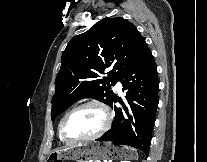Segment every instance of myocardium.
<instances>
[{
  "label": "myocardium",
  "instance_id": "myocardium-1",
  "mask_svg": "<svg viewBox=\"0 0 207 162\" xmlns=\"http://www.w3.org/2000/svg\"><path fill=\"white\" fill-rule=\"evenodd\" d=\"M89 106H94L101 110L104 117V122L102 127L96 133L89 135L87 137L76 138V139L67 138L65 135V126L69 117L72 116L76 111ZM112 119H113L112 111L106 103L97 99L88 100L74 107L63 117L59 127V135L60 138L67 143H77V142L94 140L102 136L110 128Z\"/></svg>",
  "mask_w": 207,
  "mask_h": 162
}]
</instances>
